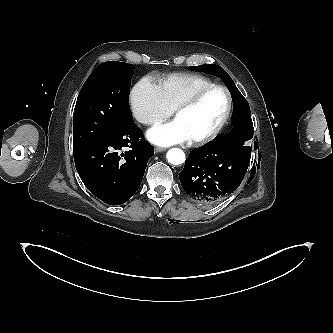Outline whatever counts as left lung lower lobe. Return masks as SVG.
<instances>
[{
    "label": "left lung lower lobe",
    "mask_w": 333,
    "mask_h": 333,
    "mask_svg": "<svg viewBox=\"0 0 333 333\" xmlns=\"http://www.w3.org/2000/svg\"><path fill=\"white\" fill-rule=\"evenodd\" d=\"M245 138L215 139L191 152L179 174L184 191L205 206L216 205L232 194L243 181L250 161L240 148Z\"/></svg>",
    "instance_id": "1"
}]
</instances>
